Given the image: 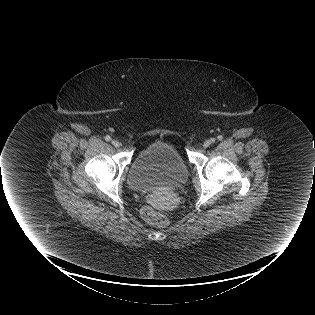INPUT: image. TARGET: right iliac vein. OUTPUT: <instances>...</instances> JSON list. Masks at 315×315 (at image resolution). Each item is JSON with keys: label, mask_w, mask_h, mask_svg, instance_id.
Masks as SVG:
<instances>
[{"label": "right iliac vein", "mask_w": 315, "mask_h": 315, "mask_svg": "<svg viewBox=\"0 0 315 315\" xmlns=\"http://www.w3.org/2000/svg\"><path fill=\"white\" fill-rule=\"evenodd\" d=\"M112 145L115 146L116 148L120 147V143L117 140H112L111 141Z\"/></svg>", "instance_id": "63e3f726"}]
</instances>
